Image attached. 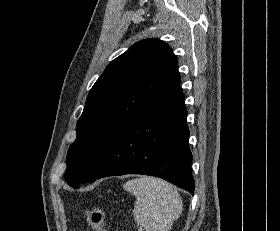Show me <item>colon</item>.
Returning a JSON list of instances; mask_svg holds the SVG:
<instances>
[{
	"label": "colon",
	"mask_w": 280,
	"mask_h": 231,
	"mask_svg": "<svg viewBox=\"0 0 280 231\" xmlns=\"http://www.w3.org/2000/svg\"><path fill=\"white\" fill-rule=\"evenodd\" d=\"M85 213L92 231H105V215L100 207L87 208Z\"/></svg>",
	"instance_id": "obj_1"
}]
</instances>
